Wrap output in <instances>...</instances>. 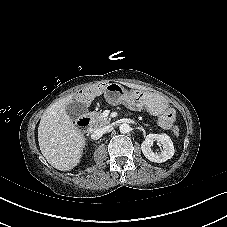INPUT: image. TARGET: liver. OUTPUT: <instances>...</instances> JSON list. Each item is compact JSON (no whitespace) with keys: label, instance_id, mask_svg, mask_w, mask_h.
I'll return each mask as SVG.
<instances>
[{"label":"liver","instance_id":"liver-1","mask_svg":"<svg viewBox=\"0 0 227 227\" xmlns=\"http://www.w3.org/2000/svg\"><path fill=\"white\" fill-rule=\"evenodd\" d=\"M73 99L72 94L47 108L38 127L40 151L47 162L60 171L77 166L85 147L84 135L66 112Z\"/></svg>","mask_w":227,"mask_h":227}]
</instances>
